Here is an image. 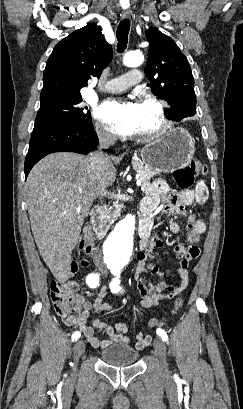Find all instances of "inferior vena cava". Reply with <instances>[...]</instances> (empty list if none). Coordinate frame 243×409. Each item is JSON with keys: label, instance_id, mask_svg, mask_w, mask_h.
<instances>
[{"label": "inferior vena cava", "instance_id": "inferior-vena-cava-1", "mask_svg": "<svg viewBox=\"0 0 243 409\" xmlns=\"http://www.w3.org/2000/svg\"><path fill=\"white\" fill-rule=\"evenodd\" d=\"M97 135L99 138L98 150L95 151L94 153H91L88 156V163H89V167L91 169L92 175L96 179L97 183H99L101 186H104L103 171H104V164H105L106 157L102 149H107L111 145H113L116 141V137L100 129L97 130ZM103 195H104V192H102L99 196H101L102 198ZM101 204H102V201H101ZM96 261L98 262L100 267L104 266L102 259H101V253L97 252Z\"/></svg>", "mask_w": 243, "mask_h": 409}]
</instances>
